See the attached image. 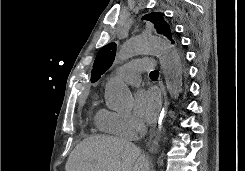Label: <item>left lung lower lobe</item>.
Segmentation results:
<instances>
[{
  "instance_id": "obj_1",
  "label": "left lung lower lobe",
  "mask_w": 245,
  "mask_h": 171,
  "mask_svg": "<svg viewBox=\"0 0 245 171\" xmlns=\"http://www.w3.org/2000/svg\"><path fill=\"white\" fill-rule=\"evenodd\" d=\"M177 67H190V62H177Z\"/></svg>"
}]
</instances>
